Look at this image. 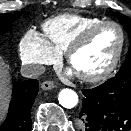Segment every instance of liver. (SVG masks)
Returning <instances> with one entry per match:
<instances>
[{"mask_svg": "<svg viewBox=\"0 0 131 131\" xmlns=\"http://www.w3.org/2000/svg\"><path fill=\"white\" fill-rule=\"evenodd\" d=\"M10 75L8 67L0 56V119L5 112L10 98L9 94Z\"/></svg>", "mask_w": 131, "mask_h": 131, "instance_id": "6515ba94", "label": "liver"}]
</instances>
